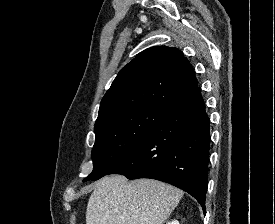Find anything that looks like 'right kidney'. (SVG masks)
<instances>
[{"instance_id": "ca27d5eb", "label": "right kidney", "mask_w": 275, "mask_h": 224, "mask_svg": "<svg viewBox=\"0 0 275 224\" xmlns=\"http://www.w3.org/2000/svg\"><path fill=\"white\" fill-rule=\"evenodd\" d=\"M167 224H179V222L177 220H174L172 222H168Z\"/></svg>"}]
</instances>
